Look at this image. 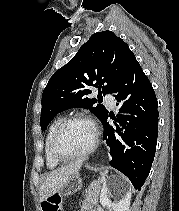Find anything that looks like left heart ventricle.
Returning <instances> with one entry per match:
<instances>
[{
  "mask_svg": "<svg viewBox=\"0 0 179 211\" xmlns=\"http://www.w3.org/2000/svg\"><path fill=\"white\" fill-rule=\"evenodd\" d=\"M93 126L84 121L69 124L63 131L58 149L64 156H74L87 150L94 140Z\"/></svg>",
  "mask_w": 179,
  "mask_h": 211,
  "instance_id": "obj_1",
  "label": "left heart ventricle"
}]
</instances>
